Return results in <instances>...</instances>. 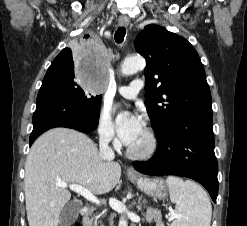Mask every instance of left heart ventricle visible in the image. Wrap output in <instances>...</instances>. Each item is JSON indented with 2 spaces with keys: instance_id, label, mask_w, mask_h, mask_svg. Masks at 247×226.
Returning a JSON list of instances; mask_svg holds the SVG:
<instances>
[{
  "instance_id": "obj_1",
  "label": "left heart ventricle",
  "mask_w": 247,
  "mask_h": 226,
  "mask_svg": "<svg viewBox=\"0 0 247 226\" xmlns=\"http://www.w3.org/2000/svg\"><path fill=\"white\" fill-rule=\"evenodd\" d=\"M132 150L140 152L148 147V136L144 130L142 134L130 145H128Z\"/></svg>"
}]
</instances>
